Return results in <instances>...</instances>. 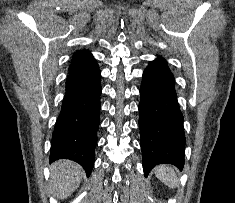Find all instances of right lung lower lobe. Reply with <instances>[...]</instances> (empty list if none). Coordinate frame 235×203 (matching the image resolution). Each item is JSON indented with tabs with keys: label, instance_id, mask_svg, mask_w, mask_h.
<instances>
[{
	"label": "right lung lower lobe",
	"instance_id": "obj_1",
	"mask_svg": "<svg viewBox=\"0 0 235 203\" xmlns=\"http://www.w3.org/2000/svg\"><path fill=\"white\" fill-rule=\"evenodd\" d=\"M101 72L94 58L71 70L52 135L49 162L70 159L90 176L99 126Z\"/></svg>",
	"mask_w": 235,
	"mask_h": 203
}]
</instances>
